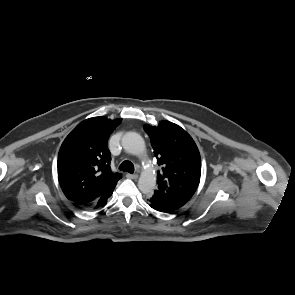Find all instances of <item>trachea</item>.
Instances as JSON below:
<instances>
[{
    "instance_id": "obj_1",
    "label": "trachea",
    "mask_w": 295,
    "mask_h": 295,
    "mask_svg": "<svg viewBox=\"0 0 295 295\" xmlns=\"http://www.w3.org/2000/svg\"><path fill=\"white\" fill-rule=\"evenodd\" d=\"M119 169L121 171H124V172H128V173H131L133 174L134 173V165L131 161L129 160H125L123 161L120 166H119Z\"/></svg>"
}]
</instances>
